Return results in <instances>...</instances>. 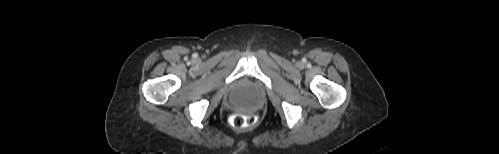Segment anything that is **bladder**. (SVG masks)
Instances as JSON below:
<instances>
[{"mask_svg": "<svg viewBox=\"0 0 499 154\" xmlns=\"http://www.w3.org/2000/svg\"><path fill=\"white\" fill-rule=\"evenodd\" d=\"M239 106L240 107H250V104L246 101H239Z\"/></svg>", "mask_w": 499, "mask_h": 154, "instance_id": "bladder-1", "label": "bladder"}]
</instances>
